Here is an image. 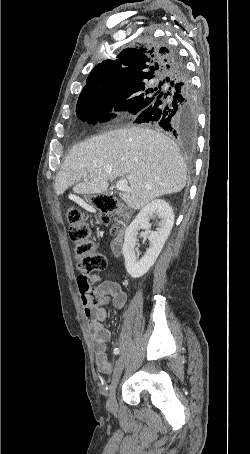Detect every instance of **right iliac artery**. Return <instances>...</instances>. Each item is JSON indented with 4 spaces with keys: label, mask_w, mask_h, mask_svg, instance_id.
Wrapping results in <instances>:
<instances>
[{
    "label": "right iliac artery",
    "mask_w": 250,
    "mask_h": 454,
    "mask_svg": "<svg viewBox=\"0 0 250 454\" xmlns=\"http://www.w3.org/2000/svg\"><path fill=\"white\" fill-rule=\"evenodd\" d=\"M119 352H120V351H119V349H118V348H115V349H114V354H115V355H118V354H119Z\"/></svg>",
    "instance_id": "82829eb1"
}]
</instances>
